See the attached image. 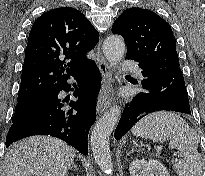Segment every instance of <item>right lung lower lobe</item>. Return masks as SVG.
<instances>
[{"instance_id":"98d812e1","label":"right lung lower lobe","mask_w":205,"mask_h":176,"mask_svg":"<svg viewBox=\"0 0 205 176\" xmlns=\"http://www.w3.org/2000/svg\"><path fill=\"white\" fill-rule=\"evenodd\" d=\"M78 82L69 110L63 109L65 100L58 98L61 90L69 91L67 79L50 90L12 123L6 138V147L32 135H50L67 142L80 153L88 154V132L96 119L95 98L100 86V73L91 61L72 76ZM75 110L77 112H75Z\"/></svg>"}]
</instances>
